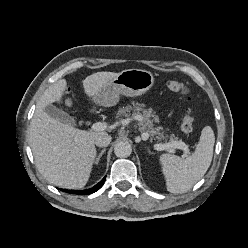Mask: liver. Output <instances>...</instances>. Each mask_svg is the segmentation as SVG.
I'll use <instances>...</instances> for the list:
<instances>
[{"instance_id": "1", "label": "liver", "mask_w": 248, "mask_h": 248, "mask_svg": "<svg viewBox=\"0 0 248 248\" xmlns=\"http://www.w3.org/2000/svg\"><path fill=\"white\" fill-rule=\"evenodd\" d=\"M119 73L97 72L83 80L86 95L94 101L99 90ZM65 79L50 85L37 102L29 130L30 146L40 174L51 184L67 189L83 188L96 157L95 138L104 131L79 130L50 117L45 108L61 103Z\"/></svg>"}]
</instances>
